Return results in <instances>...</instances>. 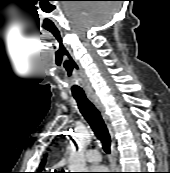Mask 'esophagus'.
Here are the masks:
<instances>
[{"label":"esophagus","mask_w":170,"mask_h":173,"mask_svg":"<svg viewBox=\"0 0 170 173\" xmlns=\"http://www.w3.org/2000/svg\"><path fill=\"white\" fill-rule=\"evenodd\" d=\"M87 97L96 106V108L100 111V113H101V115H102V117H103V119H104V121L107 125V128L109 130V134H110V137H111L110 164H111V169L115 170L116 161H117V151H116V147H115L114 130H113V126L111 124L110 118L107 115L105 107L101 103L99 97L93 91L87 92Z\"/></svg>","instance_id":"34e87169"}]
</instances>
